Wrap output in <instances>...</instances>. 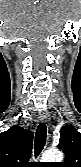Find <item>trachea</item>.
Wrapping results in <instances>:
<instances>
[{
    "label": "trachea",
    "mask_w": 81,
    "mask_h": 167,
    "mask_svg": "<svg viewBox=\"0 0 81 167\" xmlns=\"http://www.w3.org/2000/svg\"><path fill=\"white\" fill-rule=\"evenodd\" d=\"M47 137V127L45 123H41L38 125L36 134H35V142H34V153L35 157H37L41 151L43 150Z\"/></svg>",
    "instance_id": "trachea-1"
}]
</instances>
